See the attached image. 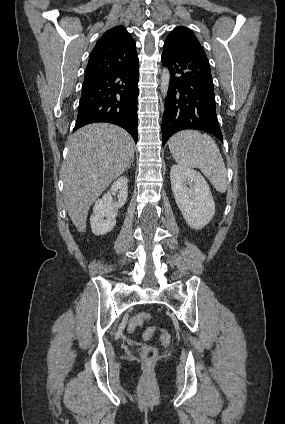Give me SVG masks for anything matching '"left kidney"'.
Listing matches in <instances>:
<instances>
[{
  "label": "left kidney",
  "instance_id": "5707ae66",
  "mask_svg": "<svg viewBox=\"0 0 285 424\" xmlns=\"http://www.w3.org/2000/svg\"><path fill=\"white\" fill-rule=\"evenodd\" d=\"M170 180L176 204L187 224L196 230L205 227L215 215V202L205 178L194 169L173 165Z\"/></svg>",
  "mask_w": 285,
  "mask_h": 424
}]
</instances>
